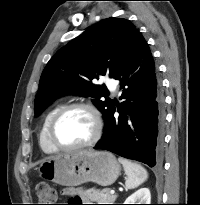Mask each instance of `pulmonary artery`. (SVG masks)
Listing matches in <instances>:
<instances>
[{
  "label": "pulmonary artery",
  "mask_w": 200,
  "mask_h": 205,
  "mask_svg": "<svg viewBox=\"0 0 200 205\" xmlns=\"http://www.w3.org/2000/svg\"><path fill=\"white\" fill-rule=\"evenodd\" d=\"M106 85L108 86V88L112 91H115L116 90V87H117V84L114 80H108L106 82Z\"/></svg>",
  "instance_id": "e3ab8cb5"
}]
</instances>
